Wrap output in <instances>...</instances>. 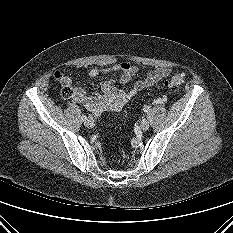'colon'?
<instances>
[{
	"instance_id": "1",
	"label": "colon",
	"mask_w": 233,
	"mask_h": 233,
	"mask_svg": "<svg viewBox=\"0 0 233 233\" xmlns=\"http://www.w3.org/2000/svg\"><path fill=\"white\" fill-rule=\"evenodd\" d=\"M56 79H60L61 75L59 73H57L55 75ZM185 81V77L183 74H176L174 76H172L165 84L169 87H177L180 86L184 83ZM72 94V87L70 85H65L63 86V95L64 96H71Z\"/></svg>"
}]
</instances>
